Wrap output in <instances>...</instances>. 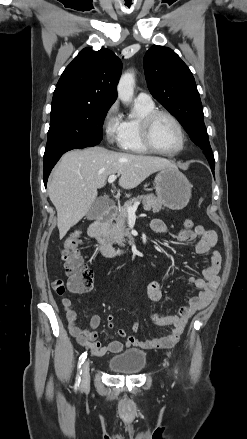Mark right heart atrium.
I'll return each instance as SVG.
<instances>
[{
    "label": "right heart atrium",
    "instance_id": "1",
    "mask_svg": "<svg viewBox=\"0 0 247 439\" xmlns=\"http://www.w3.org/2000/svg\"><path fill=\"white\" fill-rule=\"evenodd\" d=\"M101 126L107 143L110 146H119L122 138L123 126L118 112V104L116 102L112 103L106 109L102 118Z\"/></svg>",
    "mask_w": 247,
    "mask_h": 439
}]
</instances>
